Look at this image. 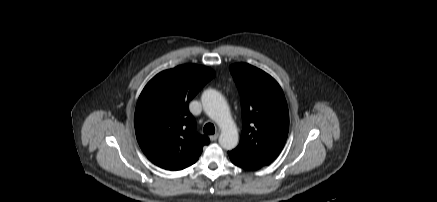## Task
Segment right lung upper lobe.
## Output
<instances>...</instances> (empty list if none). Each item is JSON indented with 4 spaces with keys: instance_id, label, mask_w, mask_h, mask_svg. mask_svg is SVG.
<instances>
[{
    "instance_id": "1",
    "label": "right lung upper lobe",
    "mask_w": 437,
    "mask_h": 202,
    "mask_svg": "<svg viewBox=\"0 0 437 202\" xmlns=\"http://www.w3.org/2000/svg\"><path fill=\"white\" fill-rule=\"evenodd\" d=\"M215 76L205 66L181 65L153 77L138 99L134 125L148 159L166 170L194 164L209 138L196 131L190 100Z\"/></svg>"
}]
</instances>
